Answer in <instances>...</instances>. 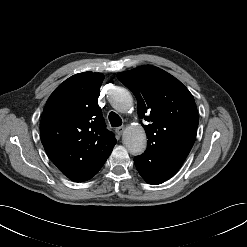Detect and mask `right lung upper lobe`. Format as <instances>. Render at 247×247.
I'll use <instances>...</instances> for the list:
<instances>
[{
	"mask_svg": "<svg viewBox=\"0 0 247 247\" xmlns=\"http://www.w3.org/2000/svg\"><path fill=\"white\" fill-rule=\"evenodd\" d=\"M103 79L92 72L71 76L55 89L43 110L42 144L68 178L105 162L116 144L97 102Z\"/></svg>",
	"mask_w": 247,
	"mask_h": 247,
	"instance_id": "obj_1",
	"label": "right lung upper lobe"
}]
</instances>
